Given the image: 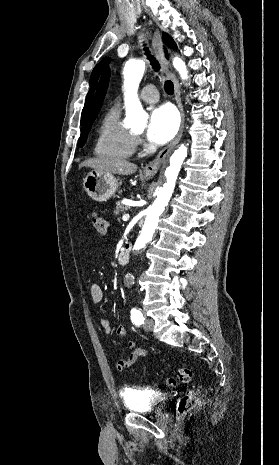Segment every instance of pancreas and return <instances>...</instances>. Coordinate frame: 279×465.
I'll return each mask as SVG.
<instances>
[{
	"label": "pancreas",
	"instance_id": "obj_1",
	"mask_svg": "<svg viewBox=\"0 0 279 465\" xmlns=\"http://www.w3.org/2000/svg\"><path fill=\"white\" fill-rule=\"evenodd\" d=\"M128 210V207L127 206H124L123 204H121L120 202L117 203V206H116V209L114 211V214L115 215H119L121 214L122 212Z\"/></svg>",
	"mask_w": 279,
	"mask_h": 465
}]
</instances>
